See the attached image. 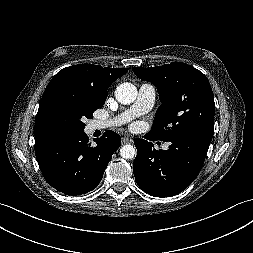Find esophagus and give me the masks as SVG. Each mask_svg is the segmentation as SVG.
Segmentation results:
<instances>
[{
	"label": "esophagus",
	"instance_id": "1",
	"mask_svg": "<svg viewBox=\"0 0 253 253\" xmlns=\"http://www.w3.org/2000/svg\"><path fill=\"white\" fill-rule=\"evenodd\" d=\"M121 143L124 145V144H128V143H132V139H129L127 137H123L121 139Z\"/></svg>",
	"mask_w": 253,
	"mask_h": 253
}]
</instances>
